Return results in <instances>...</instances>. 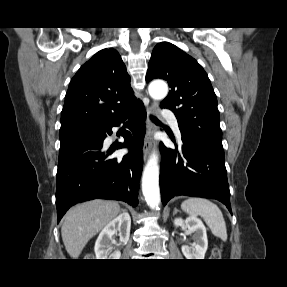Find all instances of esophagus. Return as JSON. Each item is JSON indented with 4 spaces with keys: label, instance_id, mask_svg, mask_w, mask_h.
Masks as SVG:
<instances>
[{
    "label": "esophagus",
    "instance_id": "34e87169",
    "mask_svg": "<svg viewBox=\"0 0 287 287\" xmlns=\"http://www.w3.org/2000/svg\"><path fill=\"white\" fill-rule=\"evenodd\" d=\"M157 114H158V104L156 102H153L147 110V117H146V134L143 145V156L145 161L147 160L150 150L152 148L153 136L156 131V126L153 123L151 116H155Z\"/></svg>",
    "mask_w": 287,
    "mask_h": 287
}]
</instances>
